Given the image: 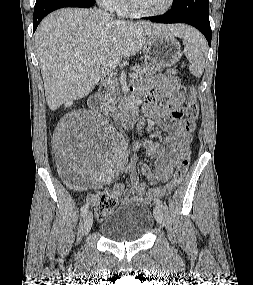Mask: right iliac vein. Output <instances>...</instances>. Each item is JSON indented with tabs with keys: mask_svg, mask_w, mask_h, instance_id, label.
<instances>
[{
	"mask_svg": "<svg viewBox=\"0 0 253 285\" xmlns=\"http://www.w3.org/2000/svg\"><path fill=\"white\" fill-rule=\"evenodd\" d=\"M93 224V214L91 212L86 213L83 222L84 233L88 234Z\"/></svg>",
	"mask_w": 253,
	"mask_h": 285,
	"instance_id": "1",
	"label": "right iliac vein"
}]
</instances>
